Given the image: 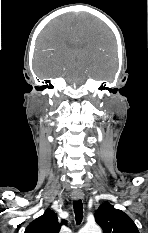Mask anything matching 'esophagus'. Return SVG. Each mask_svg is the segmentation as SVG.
<instances>
[{
	"instance_id": "34e87169",
	"label": "esophagus",
	"mask_w": 148,
	"mask_h": 233,
	"mask_svg": "<svg viewBox=\"0 0 148 233\" xmlns=\"http://www.w3.org/2000/svg\"><path fill=\"white\" fill-rule=\"evenodd\" d=\"M84 193L82 191L75 190L72 192V198L74 200L83 199Z\"/></svg>"
}]
</instances>
